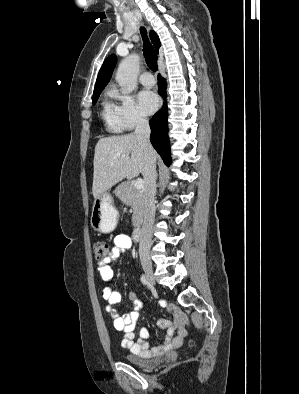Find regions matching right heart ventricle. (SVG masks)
Instances as JSON below:
<instances>
[{
	"label": "right heart ventricle",
	"instance_id": "1",
	"mask_svg": "<svg viewBox=\"0 0 299 394\" xmlns=\"http://www.w3.org/2000/svg\"><path fill=\"white\" fill-rule=\"evenodd\" d=\"M102 117L106 122L108 129L113 132H118L121 130L114 104L107 99H105L103 102Z\"/></svg>",
	"mask_w": 299,
	"mask_h": 394
}]
</instances>
